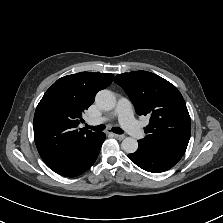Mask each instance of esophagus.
<instances>
[{
  "instance_id": "1",
  "label": "esophagus",
  "mask_w": 223,
  "mask_h": 223,
  "mask_svg": "<svg viewBox=\"0 0 223 223\" xmlns=\"http://www.w3.org/2000/svg\"><path fill=\"white\" fill-rule=\"evenodd\" d=\"M114 137L118 140H123L124 139V135H118V134H114Z\"/></svg>"
}]
</instances>
